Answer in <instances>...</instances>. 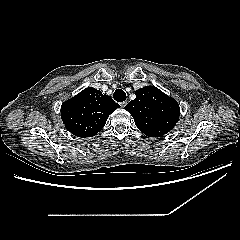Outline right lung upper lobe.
Returning a JSON list of instances; mask_svg holds the SVG:
<instances>
[{
	"label": "right lung upper lobe",
	"instance_id": "1",
	"mask_svg": "<svg viewBox=\"0 0 240 240\" xmlns=\"http://www.w3.org/2000/svg\"><path fill=\"white\" fill-rule=\"evenodd\" d=\"M119 104L101 91L86 88L61 107L62 121L69 132L86 138L96 135Z\"/></svg>",
	"mask_w": 240,
	"mask_h": 240
}]
</instances>
